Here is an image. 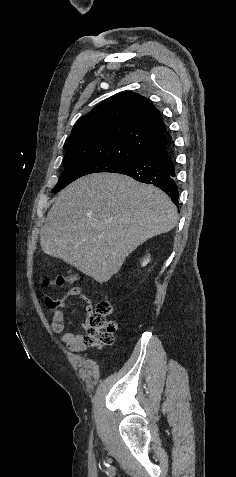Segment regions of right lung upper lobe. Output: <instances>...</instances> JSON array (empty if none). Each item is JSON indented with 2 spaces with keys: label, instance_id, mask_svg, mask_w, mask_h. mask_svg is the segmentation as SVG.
Wrapping results in <instances>:
<instances>
[{
  "label": "right lung upper lobe",
  "instance_id": "obj_1",
  "mask_svg": "<svg viewBox=\"0 0 236 477\" xmlns=\"http://www.w3.org/2000/svg\"><path fill=\"white\" fill-rule=\"evenodd\" d=\"M166 127L151 101L128 91L79 119L64 145V161L106 157L133 162L166 144Z\"/></svg>",
  "mask_w": 236,
  "mask_h": 477
}]
</instances>
